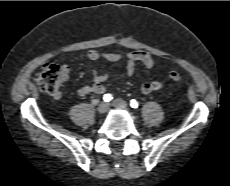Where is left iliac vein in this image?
<instances>
[{"mask_svg": "<svg viewBox=\"0 0 230 186\" xmlns=\"http://www.w3.org/2000/svg\"><path fill=\"white\" fill-rule=\"evenodd\" d=\"M112 105L118 109H126L127 108V103L122 99H115L112 102Z\"/></svg>", "mask_w": 230, "mask_h": 186, "instance_id": "1", "label": "left iliac vein"}]
</instances>
